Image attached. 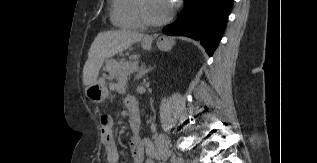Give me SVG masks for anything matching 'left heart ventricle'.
<instances>
[{
    "mask_svg": "<svg viewBox=\"0 0 317 163\" xmlns=\"http://www.w3.org/2000/svg\"><path fill=\"white\" fill-rule=\"evenodd\" d=\"M145 4L149 15L153 19H163L170 13L165 0H145Z\"/></svg>",
    "mask_w": 317,
    "mask_h": 163,
    "instance_id": "1",
    "label": "left heart ventricle"
}]
</instances>
